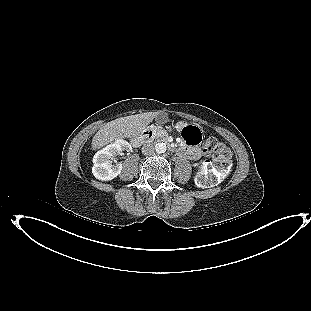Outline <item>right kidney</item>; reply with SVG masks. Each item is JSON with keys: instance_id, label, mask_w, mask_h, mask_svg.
<instances>
[{"instance_id": "obj_1", "label": "right kidney", "mask_w": 311, "mask_h": 311, "mask_svg": "<svg viewBox=\"0 0 311 311\" xmlns=\"http://www.w3.org/2000/svg\"><path fill=\"white\" fill-rule=\"evenodd\" d=\"M123 151H132L131 145L123 139H118L113 144L98 151L93 158L92 173L95 178L102 181L116 178L121 173L122 164H112V159L122 154Z\"/></svg>"}]
</instances>
